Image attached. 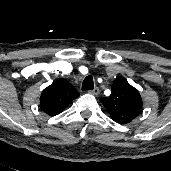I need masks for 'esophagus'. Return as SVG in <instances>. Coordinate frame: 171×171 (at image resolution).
<instances>
[{"label":"esophagus","instance_id":"obj_1","mask_svg":"<svg viewBox=\"0 0 171 171\" xmlns=\"http://www.w3.org/2000/svg\"><path fill=\"white\" fill-rule=\"evenodd\" d=\"M88 92L90 94H93V95H98L99 94V88L98 87H95L94 89L89 90Z\"/></svg>","mask_w":171,"mask_h":171}]
</instances>
